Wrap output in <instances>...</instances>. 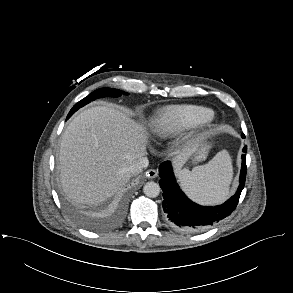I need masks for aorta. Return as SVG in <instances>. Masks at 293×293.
<instances>
[{
    "label": "aorta",
    "mask_w": 293,
    "mask_h": 293,
    "mask_svg": "<svg viewBox=\"0 0 293 293\" xmlns=\"http://www.w3.org/2000/svg\"><path fill=\"white\" fill-rule=\"evenodd\" d=\"M160 186L156 182H147L143 187V192L147 197L155 198L160 194Z\"/></svg>",
    "instance_id": "obj_1"
}]
</instances>
